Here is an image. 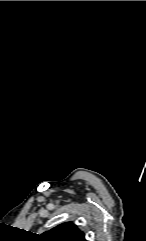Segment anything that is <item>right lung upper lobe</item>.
Segmentation results:
<instances>
[{
  "instance_id": "cb5924a9",
  "label": "right lung upper lobe",
  "mask_w": 146,
  "mask_h": 241,
  "mask_svg": "<svg viewBox=\"0 0 146 241\" xmlns=\"http://www.w3.org/2000/svg\"><path fill=\"white\" fill-rule=\"evenodd\" d=\"M39 241H86L84 233L72 222L62 223L38 235Z\"/></svg>"
}]
</instances>
